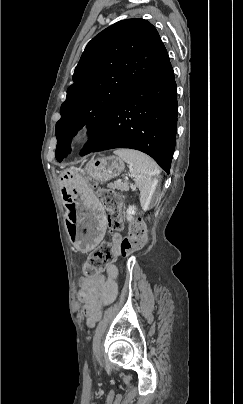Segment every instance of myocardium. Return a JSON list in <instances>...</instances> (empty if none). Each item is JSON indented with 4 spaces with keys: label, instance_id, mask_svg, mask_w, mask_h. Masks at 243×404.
I'll return each mask as SVG.
<instances>
[{
    "label": "myocardium",
    "instance_id": "f54148a6",
    "mask_svg": "<svg viewBox=\"0 0 243 404\" xmlns=\"http://www.w3.org/2000/svg\"><path fill=\"white\" fill-rule=\"evenodd\" d=\"M91 138V129L86 124H77L69 129L66 135L67 141L74 145L80 146L87 143Z\"/></svg>",
    "mask_w": 243,
    "mask_h": 404
}]
</instances>
